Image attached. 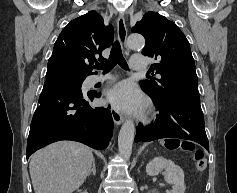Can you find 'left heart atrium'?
<instances>
[{
    "instance_id": "obj_1",
    "label": "left heart atrium",
    "mask_w": 237,
    "mask_h": 193,
    "mask_svg": "<svg viewBox=\"0 0 237 193\" xmlns=\"http://www.w3.org/2000/svg\"><path fill=\"white\" fill-rule=\"evenodd\" d=\"M107 101L117 110L124 112H141L145 101L136 87L129 82H122L110 89Z\"/></svg>"
}]
</instances>
